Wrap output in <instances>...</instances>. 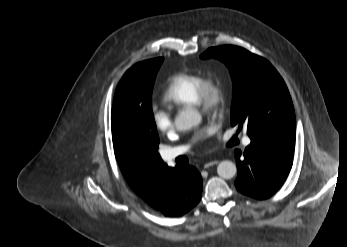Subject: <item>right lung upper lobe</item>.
<instances>
[{
  "label": "right lung upper lobe",
  "mask_w": 347,
  "mask_h": 247,
  "mask_svg": "<svg viewBox=\"0 0 347 247\" xmlns=\"http://www.w3.org/2000/svg\"><path fill=\"white\" fill-rule=\"evenodd\" d=\"M115 158L133 191L148 204H160L166 196L168 166L159 153L148 154L113 138Z\"/></svg>",
  "instance_id": "1"
}]
</instances>
